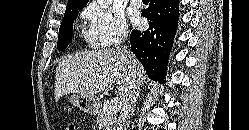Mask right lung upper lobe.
<instances>
[{"mask_svg":"<svg viewBox=\"0 0 249 130\" xmlns=\"http://www.w3.org/2000/svg\"><path fill=\"white\" fill-rule=\"evenodd\" d=\"M88 0H69L67 5L85 6Z\"/></svg>","mask_w":249,"mask_h":130,"instance_id":"right-lung-upper-lobe-1","label":"right lung upper lobe"}]
</instances>
